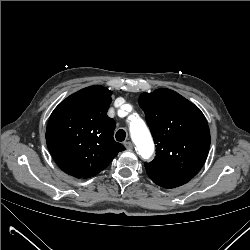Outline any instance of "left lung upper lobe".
Here are the masks:
<instances>
[{"label": "left lung upper lobe", "instance_id": "left-lung-upper-lobe-1", "mask_svg": "<svg viewBox=\"0 0 250 250\" xmlns=\"http://www.w3.org/2000/svg\"><path fill=\"white\" fill-rule=\"evenodd\" d=\"M139 104L156 144V156L145 163L148 175L193 178L210 147L205 116L193 103L170 89L143 93Z\"/></svg>", "mask_w": 250, "mask_h": 250}]
</instances>
